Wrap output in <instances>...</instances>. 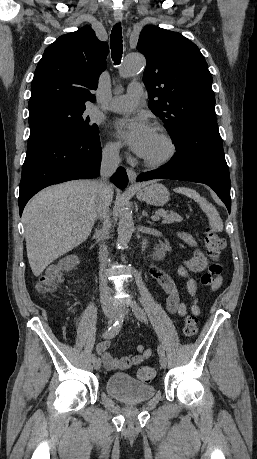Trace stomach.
I'll list each match as a JSON object with an SVG mask.
<instances>
[{"label": "stomach", "mask_w": 257, "mask_h": 459, "mask_svg": "<svg viewBox=\"0 0 257 459\" xmlns=\"http://www.w3.org/2000/svg\"><path fill=\"white\" fill-rule=\"evenodd\" d=\"M137 198L152 205H164L169 199L167 188L159 183L145 186L137 191Z\"/></svg>", "instance_id": "obj_1"}]
</instances>
